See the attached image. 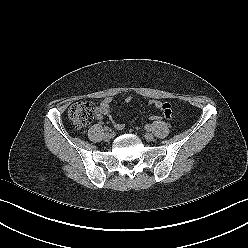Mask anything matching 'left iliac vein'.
<instances>
[{
  "label": "left iliac vein",
  "mask_w": 248,
  "mask_h": 248,
  "mask_svg": "<svg viewBox=\"0 0 248 248\" xmlns=\"http://www.w3.org/2000/svg\"><path fill=\"white\" fill-rule=\"evenodd\" d=\"M145 139L147 141H152L154 139V135L152 133L148 132V133L145 134Z\"/></svg>",
  "instance_id": "obj_1"
}]
</instances>
